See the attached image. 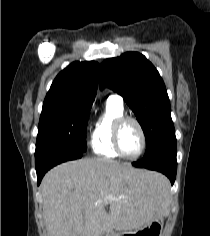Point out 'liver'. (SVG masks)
Instances as JSON below:
<instances>
[{"instance_id":"obj_1","label":"liver","mask_w":210,"mask_h":236,"mask_svg":"<svg viewBox=\"0 0 210 236\" xmlns=\"http://www.w3.org/2000/svg\"><path fill=\"white\" fill-rule=\"evenodd\" d=\"M168 187L160 173L103 158L62 163L41 182L48 236H102L112 229H140L160 211Z\"/></svg>"}]
</instances>
